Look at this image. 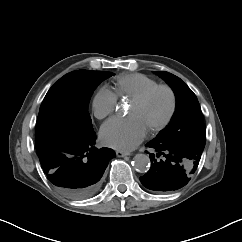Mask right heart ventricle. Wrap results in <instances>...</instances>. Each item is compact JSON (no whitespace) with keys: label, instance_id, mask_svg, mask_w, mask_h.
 Listing matches in <instances>:
<instances>
[{"label":"right heart ventricle","instance_id":"obj_1","mask_svg":"<svg viewBox=\"0 0 242 242\" xmlns=\"http://www.w3.org/2000/svg\"><path fill=\"white\" fill-rule=\"evenodd\" d=\"M157 85V81L142 73H125L119 75L115 80L117 96L133 99Z\"/></svg>","mask_w":242,"mask_h":242}]
</instances>
